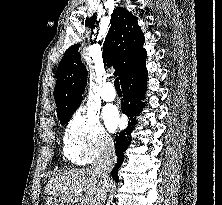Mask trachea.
<instances>
[{"label":"trachea","instance_id":"3493384b","mask_svg":"<svg viewBox=\"0 0 222 205\" xmlns=\"http://www.w3.org/2000/svg\"><path fill=\"white\" fill-rule=\"evenodd\" d=\"M114 86H115V89H116V90H121V89H120V83H119V79H118V78L115 80Z\"/></svg>","mask_w":222,"mask_h":205}]
</instances>
